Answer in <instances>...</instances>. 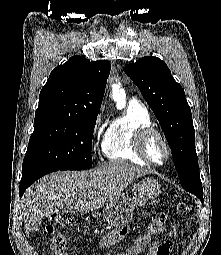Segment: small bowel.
I'll return each mask as SVG.
<instances>
[{"instance_id": "1", "label": "small bowel", "mask_w": 221, "mask_h": 255, "mask_svg": "<svg viewBox=\"0 0 221 255\" xmlns=\"http://www.w3.org/2000/svg\"><path fill=\"white\" fill-rule=\"evenodd\" d=\"M130 233L128 226L120 227L109 234L105 235L98 243V248L101 250L108 249ZM173 243L171 240L153 241V236L145 234L140 237L136 243L121 255H138L144 248L148 247L147 255H170Z\"/></svg>"}]
</instances>
